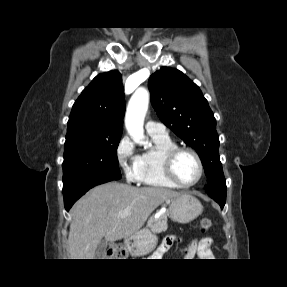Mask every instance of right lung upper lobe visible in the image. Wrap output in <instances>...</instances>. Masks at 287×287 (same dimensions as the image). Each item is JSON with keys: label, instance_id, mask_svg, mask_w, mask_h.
Listing matches in <instances>:
<instances>
[{"label": "right lung upper lobe", "instance_id": "obj_1", "mask_svg": "<svg viewBox=\"0 0 287 287\" xmlns=\"http://www.w3.org/2000/svg\"><path fill=\"white\" fill-rule=\"evenodd\" d=\"M125 113L121 74L112 70L97 75L75 101L67 131L87 127L96 134H122Z\"/></svg>", "mask_w": 287, "mask_h": 287}]
</instances>
